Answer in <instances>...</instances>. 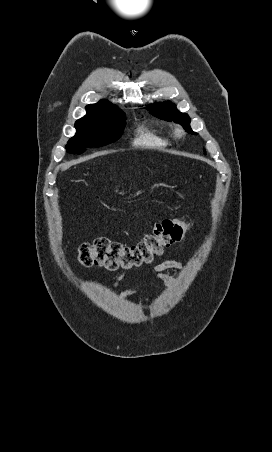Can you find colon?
I'll return each instance as SVG.
<instances>
[{
    "label": "colon",
    "mask_w": 272,
    "mask_h": 452,
    "mask_svg": "<svg viewBox=\"0 0 272 452\" xmlns=\"http://www.w3.org/2000/svg\"><path fill=\"white\" fill-rule=\"evenodd\" d=\"M188 228V222L166 219L156 223L152 233L134 245L96 239L80 246L78 262L83 267L102 266L112 270L146 266L166 248L179 242Z\"/></svg>",
    "instance_id": "obj_1"
}]
</instances>
